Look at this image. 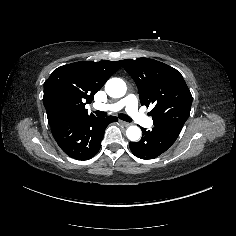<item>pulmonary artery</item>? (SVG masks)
Instances as JSON below:
<instances>
[{"label":"pulmonary artery","mask_w":236,"mask_h":236,"mask_svg":"<svg viewBox=\"0 0 236 236\" xmlns=\"http://www.w3.org/2000/svg\"><path fill=\"white\" fill-rule=\"evenodd\" d=\"M138 100L135 97H126L114 104H110L112 110H120L125 108L127 113L135 119L136 123L143 127H150L153 124V119L150 116L143 115L142 111L137 109Z\"/></svg>","instance_id":"pulmonary-artery-1"}]
</instances>
